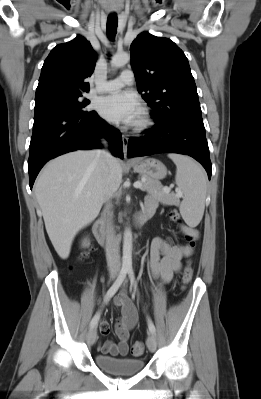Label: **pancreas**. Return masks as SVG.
Wrapping results in <instances>:
<instances>
[{
  "mask_svg": "<svg viewBox=\"0 0 261 399\" xmlns=\"http://www.w3.org/2000/svg\"><path fill=\"white\" fill-rule=\"evenodd\" d=\"M145 181L142 182V190L147 191L149 194L157 197L164 204H171L177 200V196L167 193L158 180L144 177Z\"/></svg>",
  "mask_w": 261,
  "mask_h": 399,
  "instance_id": "pancreas-1",
  "label": "pancreas"
}]
</instances>
